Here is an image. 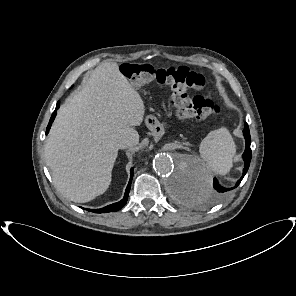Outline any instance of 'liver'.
<instances>
[{
	"mask_svg": "<svg viewBox=\"0 0 296 296\" xmlns=\"http://www.w3.org/2000/svg\"><path fill=\"white\" fill-rule=\"evenodd\" d=\"M140 94L117 63H102L82 89L67 99L45 143V159L57 190L67 199L85 203L110 185L118 155L117 142H139L134 126L144 118Z\"/></svg>",
	"mask_w": 296,
	"mask_h": 296,
	"instance_id": "liver-1",
	"label": "liver"
}]
</instances>
